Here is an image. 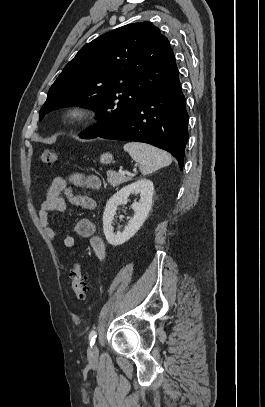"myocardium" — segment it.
<instances>
[{"label":"myocardium","mask_w":265,"mask_h":407,"mask_svg":"<svg viewBox=\"0 0 265 407\" xmlns=\"http://www.w3.org/2000/svg\"><path fill=\"white\" fill-rule=\"evenodd\" d=\"M96 116L93 107L84 103H71L65 106L62 117L72 125H79L92 120Z\"/></svg>","instance_id":"1"}]
</instances>
